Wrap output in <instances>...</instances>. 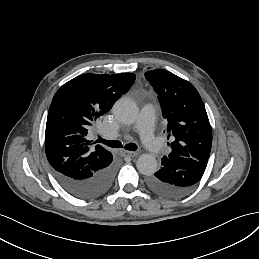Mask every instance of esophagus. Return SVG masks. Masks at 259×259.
Instances as JSON below:
<instances>
[{"label": "esophagus", "mask_w": 259, "mask_h": 259, "mask_svg": "<svg viewBox=\"0 0 259 259\" xmlns=\"http://www.w3.org/2000/svg\"><path fill=\"white\" fill-rule=\"evenodd\" d=\"M137 155H138L137 152L127 151V150L122 152L123 157H135Z\"/></svg>", "instance_id": "obj_1"}]
</instances>
